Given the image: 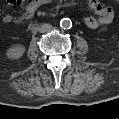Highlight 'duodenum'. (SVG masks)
Listing matches in <instances>:
<instances>
[{"mask_svg":"<svg viewBox=\"0 0 119 119\" xmlns=\"http://www.w3.org/2000/svg\"><path fill=\"white\" fill-rule=\"evenodd\" d=\"M31 29H32V30L36 29V26H35V25H34V26H32V27H31Z\"/></svg>","mask_w":119,"mask_h":119,"instance_id":"410a0bca","label":"duodenum"}]
</instances>
